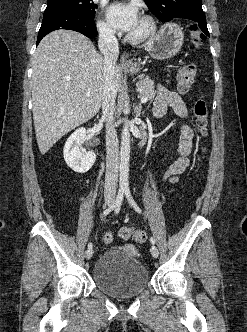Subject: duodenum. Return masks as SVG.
Returning a JSON list of instances; mask_svg holds the SVG:
<instances>
[{"mask_svg": "<svg viewBox=\"0 0 247 332\" xmlns=\"http://www.w3.org/2000/svg\"><path fill=\"white\" fill-rule=\"evenodd\" d=\"M145 142H146V133L144 132L138 141V147L141 148L145 144Z\"/></svg>", "mask_w": 247, "mask_h": 332, "instance_id": "obj_1", "label": "duodenum"}]
</instances>
